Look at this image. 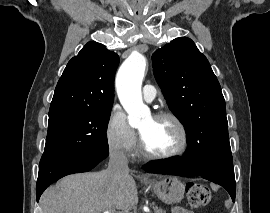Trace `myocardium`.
I'll return each instance as SVG.
<instances>
[{"label": "myocardium", "instance_id": "1", "mask_svg": "<svg viewBox=\"0 0 270 213\" xmlns=\"http://www.w3.org/2000/svg\"><path fill=\"white\" fill-rule=\"evenodd\" d=\"M156 120L160 119H169L174 122L178 130L180 131L181 134V144L178 148L175 150L168 152V153H162V154H156L150 152L147 147L145 146L141 136H140V141H139V149H140V154L142 155L143 158L148 159V160H167V159H173L176 157H179L183 155L189 144V137H188V132L187 129L184 125V123L180 120L178 116L175 114L168 112V111H160L155 113L152 116Z\"/></svg>", "mask_w": 270, "mask_h": 213}]
</instances>
